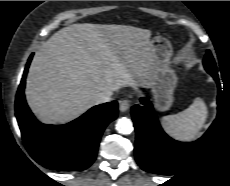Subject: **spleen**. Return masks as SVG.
<instances>
[{"label": "spleen", "instance_id": "spleen-1", "mask_svg": "<svg viewBox=\"0 0 230 186\" xmlns=\"http://www.w3.org/2000/svg\"><path fill=\"white\" fill-rule=\"evenodd\" d=\"M207 107L201 98L184 111L175 115H168L161 119L166 132L180 140H193L199 134L207 118Z\"/></svg>", "mask_w": 230, "mask_h": 186}]
</instances>
